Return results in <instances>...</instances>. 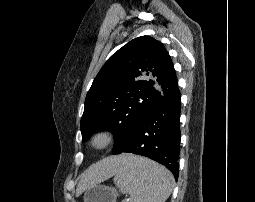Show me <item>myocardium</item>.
Segmentation results:
<instances>
[{"label":"myocardium","instance_id":"f54148a6","mask_svg":"<svg viewBox=\"0 0 255 202\" xmlns=\"http://www.w3.org/2000/svg\"><path fill=\"white\" fill-rule=\"evenodd\" d=\"M115 140L114 133L109 129H101L90 137L89 145L97 151L109 148Z\"/></svg>","mask_w":255,"mask_h":202}]
</instances>
